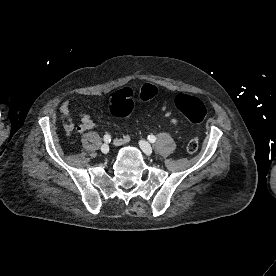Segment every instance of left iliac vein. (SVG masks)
Masks as SVG:
<instances>
[{
  "instance_id": "1",
  "label": "left iliac vein",
  "mask_w": 276,
  "mask_h": 276,
  "mask_svg": "<svg viewBox=\"0 0 276 276\" xmlns=\"http://www.w3.org/2000/svg\"><path fill=\"white\" fill-rule=\"evenodd\" d=\"M139 145L146 155L150 156L152 154V147L148 142L140 140Z\"/></svg>"
}]
</instances>
